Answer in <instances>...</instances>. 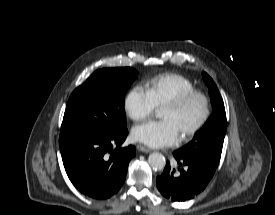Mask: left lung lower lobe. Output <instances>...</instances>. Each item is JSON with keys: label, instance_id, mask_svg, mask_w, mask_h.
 <instances>
[{"label": "left lung lower lobe", "instance_id": "1", "mask_svg": "<svg viewBox=\"0 0 275 215\" xmlns=\"http://www.w3.org/2000/svg\"><path fill=\"white\" fill-rule=\"evenodd\" d=\"M178 167L167 162L163 173L156 178L161 194L172 201H186L201 193L213 177L217 166L173 153Z\"/></svg>", "mask_w": 275, "mask_h": 215}]
</instances>
